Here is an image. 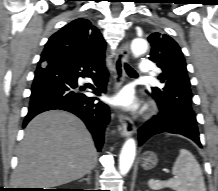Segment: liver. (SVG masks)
<instances>
[{
	"mask_svg": "<svg viewBox=\"0 0 218 191\" xmlns=\"http://www.w3.org/2000/svg\"><path fill=\"white\" fill-rule=\"evenodd\" d=\"M97 163V151L84 123L52 110L33 118L18 148L15 184L23 188L57 187L82 178Z\"/></svg>",
	"mask_w": 218,
	"mask_h": 191,
	"instance_id": "1",
	"label": "liver"
}]
</instances>
